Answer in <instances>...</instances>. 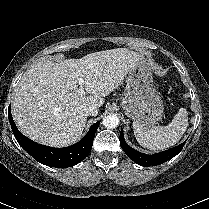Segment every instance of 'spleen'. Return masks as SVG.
<instances>
[{"instance_id": "1", "label": "spleen", "mask_w": 209, "mask_h": 209, "mask_svg": "<svg viewBox=\"0 0 209 209\" xmlns=\"http://www.w3.org/2000/svg\"><path fill=\"white\" fill-rule=\"evenodd\" d=\"M188 127V112L180 108L167 126H155L147 129L138 122H133L134 135L138 143L150 150H163L175 145Z\"/></svg>"}]
</instances>
